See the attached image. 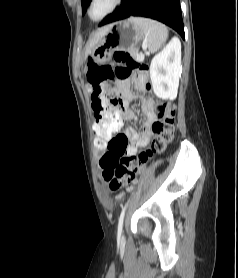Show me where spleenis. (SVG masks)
<instances>
[{
    "label": "spleen",
    "mask_w": 238,
    "mask_h": 278,
    "mask_svg": "<svg viewBox=\"0 0 238 278\" xmlns=\"http://www.w3.org/2000/svg\"><path fill=\"white\" fill-rule=\"evenodd\" d=\"M130 20L142 29L150 53L158 51L166 42L168 31L162 23L141 17H132Z\"/></svg>",
    "instance_id": "obj_1"
}]
</instances>
